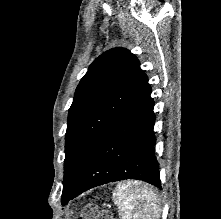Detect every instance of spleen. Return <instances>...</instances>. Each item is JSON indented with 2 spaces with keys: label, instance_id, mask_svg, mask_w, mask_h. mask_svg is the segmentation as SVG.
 Listing matches in <instances>:
<instances>
[{
  "label": "spleen",
  "instance_id": "obj_1",
  "mask_svg": "<svg viewBox=\"0 0 221 219\" xmlns=\"http://www.w3.org/2000/svg\"><path fill=\"white\" fill-rule=\"evenodd\" d=\"M113 201L121 219H157L161 212L157 195L138 181L120 182L113 192Z\"/></svg>",
  "mask_w": 221,
  "mask_h": 219
}]
</instances>
